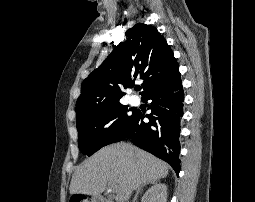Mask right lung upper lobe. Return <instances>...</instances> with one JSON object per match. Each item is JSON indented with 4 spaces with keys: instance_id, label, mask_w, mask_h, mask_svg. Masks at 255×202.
<instances>
[{
    "instance_id": "right-lung-upper-lobe-1",
    "label": "right lung upper lobe",
    "mask_w": 255,
    "mask_h": 202,
    "mask_svg": "<svg viewBox=\"0 0 255 202\" xmlns=\"http://www.w3.org/2000/svg\"><path fill=\"white\" fill-rule=\"evenodd\" d=\"M125 34L127 40L83 81L76 119L119 103L122 89L133 87L137 78L144 80L142 97L180 78L173 52L154 26L138 23Z\"/></svg>"
}]
</instances>
